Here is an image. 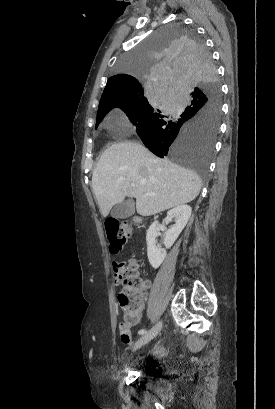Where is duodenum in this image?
Listing matches in <instances>:
<instances>
[{
	"label": "duodenum",
	"instance_id": "1",
	"mask_svg": "<svg viewBox=\"0 0 275 409\" xmlns=\"http://www.w3.org/2000/svg\"><path fill=\"white\" fill-rule=\"evenodd\" d=\"M134 220H135V222H136L137 224H140L141 221H142V219H141L140 217H136Z\"/></svg>",
	"mask_w": 275,
	"mask_h": 409
}]
</instances>
